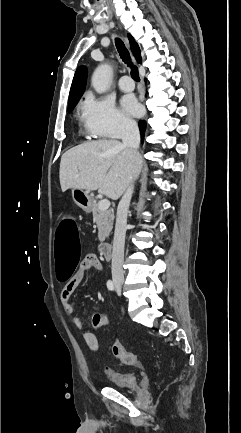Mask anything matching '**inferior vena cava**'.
<instances>
[{"label": "inferior vena cava", "mask_w": 241, "mask_h": 433, "mask_svg": "<svg viewBox=\"0 0 241 433\" xmlns=\"http://www.w3.org/2000/svg\"><path fill=\"white\" fill-rule=\"evenodd\" d=\"M122 145L132 148L137 152L140 146V133L138 125L135 121L128 120L124 124L122 132ZM134 190L133 180L125 190L117 208V217L115 225V233L113 240L112 252V279L114 281H123V260H124V245L127 227V214Z\"/></svg>", "instance_id": "inferior-vena-cava-1"}]
</instances>
